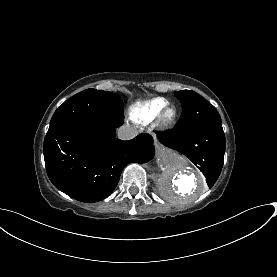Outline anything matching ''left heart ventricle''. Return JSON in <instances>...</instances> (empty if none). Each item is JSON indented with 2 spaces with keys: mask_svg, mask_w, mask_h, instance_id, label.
I'll return each instance as SVG.
<instances>
[{
  "mask_svg": "<svg viewBox=\"0 0 277 277\" xmlns=\"http://www.w3.org/2000/svg\"><path fill=\"white\" fill-rule=\"evenodd\" d=\"M171 114H172V112H171V111H169V112H168V116H171Z\"/></svg>",
  "mask_w": 277,
  "mask_h": 277,
  "instance_id": "1",
  "label": "left heart ventricle"
}]
</instances>
